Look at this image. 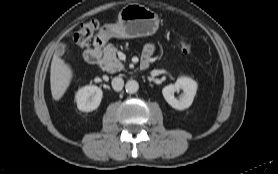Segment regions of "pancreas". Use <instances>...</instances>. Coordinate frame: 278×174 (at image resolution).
<instances>
[{"mask_svg":"<svg viewBox=\"0 0 278 174\" xmlns=\"http://www.w3.org/2000/svg\"><path fill=\"white\" fill-rule=\"evenodd\" d=\"M117 48L107 45L103 50L102 68L108 73H115L124 69V65L116 57Z\"/></svg>","mask_w":278,"mask_h":174,"instance_id":"cf45deb5","label":"pancreas"}]
</instances>
